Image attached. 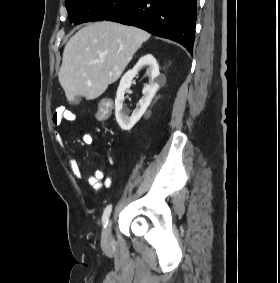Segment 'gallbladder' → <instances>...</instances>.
Wrapping results in <instances>:
<instances>
[{
	"mask_svg": "<svg viewBox=\"0 0 280 283\" xmlns=\"http://www.w3.org/2000/svg\"><path fill=\"white\" fill-rule=\"evenodd\" d=\"M80 101H81L80 96H76L75 99H74V101H73V103L77 105V104L80 103Z\"/></svg>",
	"mask_w": 280,
	"mask_h": 283,
	"instance_id": "gallbladder-1",
	"label": "gallbladder"
}]
</instances>
